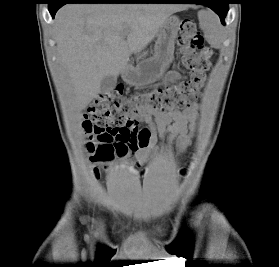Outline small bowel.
<instances>
[{
    "mask_svg": "<svg viewBox=\"0 0 279 267\" xmlns=\"http://www.w3.org/2000/svg\"><path fill=\"white\" fill-rule=\"evenodd\" d=\"M182 77L176 69L171 70L166 77L167 82H175ZM198 106L191 105L185 110H174L165 113L147 112L135 116L133 127L138 129L139 121L147 124L145 130L148 137L143 144L130 146L134 155L142 162L149 161L161 145L174 144L178 152H183L191 143L196 127Z\"/></svg>",
    "mask_w": 279,
    "mask_h": 267,
    "instance_id": "obj_1",
    "label": "small bowel"
}]
</instances>
